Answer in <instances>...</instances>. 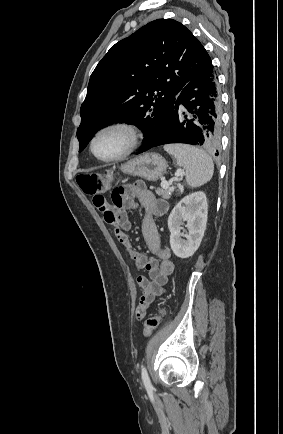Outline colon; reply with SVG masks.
I'll return each instance as SVG.
<instances>
[{
  "instance_id": "1",
  "label": "colon",
  "mask_w": 283,
  "mask_h": 434,
  "mask_svg": "<svg viewBox=\"0 0 283 434\" xmlns=\"http://www.w3.org/2000/svg\"><path fill=\"white\" fill-rule=\"evenodd\" d=\"M110 173H82L77 176V183L81 190L89 196H95L104 191L109 183ZM164 310L160 308L154 315L149 316L144 323L143 336L149 337L160 323Z\"/></svg>"
}]
</instances>
